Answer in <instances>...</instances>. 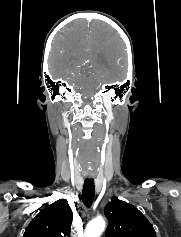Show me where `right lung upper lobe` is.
<instances>
[{
  "instance_id": "cb5924a9",
  "label": "right lung upper lobe",
  "mask_w": 181,
  "mask_h": 237,
  "mask_svg": "<svg viewBox=\"0 0 181 237\" xmlns=\"http://www.w3.org/2000/svg\"><path fill=\"white\" fill-rule=\"evenodd\" d=\"M72 219L67 200L59 199L34 217L23 237H70Z\"/></svg>"
}]
</instances>
